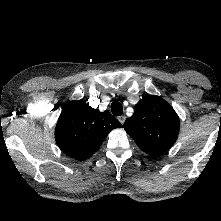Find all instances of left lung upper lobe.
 <instances>
[{"label": "left lung upper lobe", "instance_id": "5c2ea615", "mask_svg": "<svg viewBox=\"0 0 221 221\" xmlns=\"http://www.w3.org/2000/svg\"><path fill=\"white\" fill-rule=\"evenodd\" d=\"M124 129L138 147L149 155H161L172 147L179 132L174 109L159 96H147L135 105Z\"/></svg>", "mask_w": 221, "mask_h": 221}]
</instances>
